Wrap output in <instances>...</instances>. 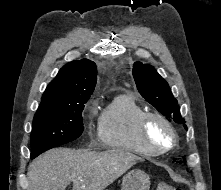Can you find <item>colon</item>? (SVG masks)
<instances>
[{
    "instance_id": "obj_1",
    "label": "colon",
    "mask_w": 221,
    "mask_h": 190,
    "mask_svg": "<svg viewBox=\"0 0 221 190\" xmlns=\"http://www.w3.org/2000/svg\"><path fill=\"white\" fill-rule=\"evenodd\" d=\"M157 190H180V189L167 183H160L157 187Z\"/></svg>"
}]
</instances>
